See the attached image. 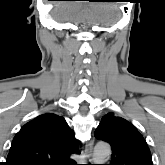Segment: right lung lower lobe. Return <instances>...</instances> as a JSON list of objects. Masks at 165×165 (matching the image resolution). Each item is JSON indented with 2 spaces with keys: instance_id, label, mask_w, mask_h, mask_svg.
Instances as JSON below:
<instances>
[{
  "instance_id": "right-lung-lower-lobe-1",
  "label": "right lung lower lobe",
  "mask_w": 165,
  "mask_h": 165,
  "mask_svg": "<svg viewBox=\"0 0 165 165\" xmlns=\"http://www.w3.org/2000/svg\"><path fill=\"white\" fill-rule=\"evenodd\" d=\"M60 165H77V163L71 160L70 158H68L67 161L60 163Z\"/></svg>"
}]
</instances>
